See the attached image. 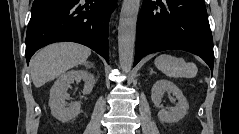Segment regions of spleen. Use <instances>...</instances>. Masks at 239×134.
Returning a JSON list of instances; mask_svg holds the SVG:
<instances>
[{"label":"spleen","instance_id":"1","mask_svg":"<svg viewBox=\"0 0 239 134\" xmlns=\"http://www.w3.org/2000/svg\"><path fill=\"white\" fill-rule=\"evenodd\" d=\"M156 67L170 78H194L198 68L192 62H186L183 58H177L170 54H161L155 59Z\"/></svg>","mask_w":239,"mask_h":134}]
</instances>
